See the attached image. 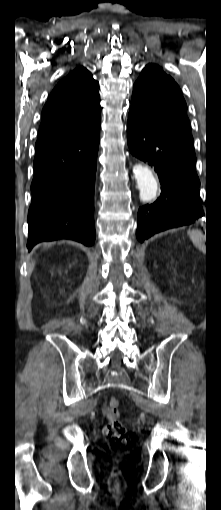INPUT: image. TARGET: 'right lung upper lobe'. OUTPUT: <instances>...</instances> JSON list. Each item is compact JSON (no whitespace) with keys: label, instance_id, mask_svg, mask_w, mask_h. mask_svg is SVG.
Returning a JSON list of instances; mask_svg holds the SVG:
<instances>
[{"label":"right lung upper lobe","instance_id":"right-lung-upper-lobe-1","mask_svg":"<svg viewBox=\"0 0 221 510\" xmlns=\"http://www.w3.org/2000/svg\"><path fill=\"white\" fill-rule=\"evenodd\" d=\"M98 86L82 66L63 78L43 108L36 146L70 137L96 123L101 117Z\"/></svg>","mask_w":221,"mask_h":510}]
</instances>
